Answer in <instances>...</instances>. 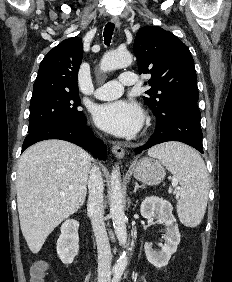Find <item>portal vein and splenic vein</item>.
<instances>
[{
	"label": "portal vein and splenic vein",
	"mask_w": 232,
	"mask_h": 282,
	"mask_svg": "<svg viewBox=\"0 0 232 282\" xmlns=\"http://www.w3.org/2000/svg\"><path fill=\"white\" fill-rule=\"evenodd\" d=\"M173 186H175V187H176V186H177V184H176V183H173ZM61 195H62V196H64L65 194H61Z\"/></svg>",
	"instance_id": "18ae733b"
}]
</instances>
